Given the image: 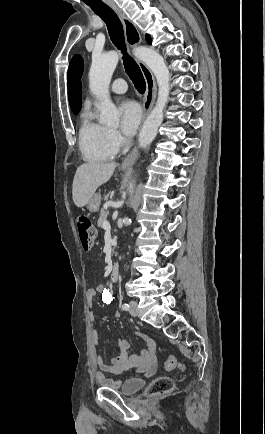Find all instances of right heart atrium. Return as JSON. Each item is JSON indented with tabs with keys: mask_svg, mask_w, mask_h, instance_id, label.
<instances>
[{
	"mask_svg": "<svg viewBox=\"0 0 265 434\" xmlns=\"http://www.w3.org/2000/svg\"><path fill=\"white\" fill-rule=\"evenodd\" d=\"M108 133L111 151H123L125 149L126 138L121 136L115 125H108L105 128Z\"/></svg>",
	"mask_w": 265,
	"mask_h": 434,
	"instance_id": "obj_1",
	"label": "right heart atrium"
}]
</instances>
